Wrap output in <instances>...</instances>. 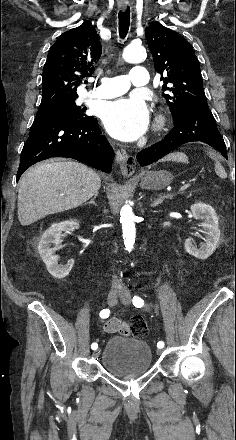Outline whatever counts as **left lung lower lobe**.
<instances>
[{"label":"left lung lower lobe","instance_id":"obj_1","mask_svg":"<svg viewBox=\"0 0 236 440\" xmlns=\"http://www.w3.org/2000/svg\"><path fill=\"white\" fill-rule=\"evenodd\" d=\"M193 141L207 143L227 158L226 145L207 103L190 106L180 120L174 123V128L163 140L143 149L136 157L141 166H147L182 144Z\"/></svg>","mask_w":236,"mask_h":440}]
</instances>
